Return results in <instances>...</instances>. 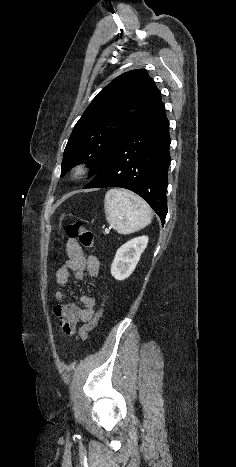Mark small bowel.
<instances>
[{
    "instance_id": "small-bowel-1",
    "label": "small bowel",
    "mask_w": 236,
    "mask_h": 467,
    "mask_svg": "<svg viewBox=\"0 0 236 467\" xmlns=\"http://www.w3.org/2000/svg\"><path fill=\"white\" fill-rule=\"evenodd\" d=\"M66 254L65 263L56 272V284L59 287L66 286L70 273H73L78 280L84 278L85 272H88L91 277L98 275L100 270L99 259L93 255L85 256L83 249L76 240L71 239L67 242ZM55 297L58 300L64 298V293L60 288L56 290ZM80 302L81 307L75 303H67L54 308L59 327L68 336L76 332L77 325L80 322H89L95 315L96 303L93 297L83 295Z\"/></svg>"
}]
</instances>
